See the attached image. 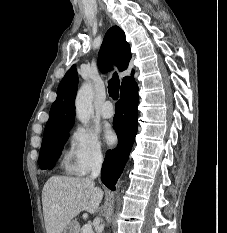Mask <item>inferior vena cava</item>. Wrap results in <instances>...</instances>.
Instances as JSON below:
<instances>
[{
  "instance_id": "1",
  "label": "inferior vena cava",
  "mask_w": 227,
  "mask_h": 233,
  "mask_svg": "<svg viewBox=\"0 0 227 233\" xmlns=\"http://www.w3.org/2000/svg\"><path fill=\"white\" fill-rule=\"evenodd\" d=\"M103 157L101 154H97L93 159L92 172L90 178L95 179L100 175L102 167Z\"/></svg>"
}]
</instances>
